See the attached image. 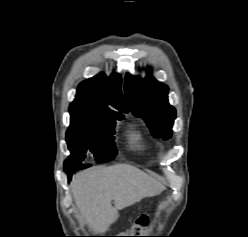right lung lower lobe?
Masks as SVG:
<instances>
[{
	"label": "right lung lower lobe",
	"mask_w": 248,
	"mask_h": 237,
	"mask_svg": "<svg viewBox=\"0 0 248 237\" xmlns=\"http://www.w3.org/2000/svg\"><path fill=\"white\" fill-rule=\"evenodd\" d=\"M87 167H88V165L81 164L80 166L71 167V168H64V169H65V172L68 175V179L70 180L73 173H75L76 171H78L80 169H84V168H87Z\"/></svg>",
	"instance_id": "right-lung-lower-lobe-1"
}]
</instances>
